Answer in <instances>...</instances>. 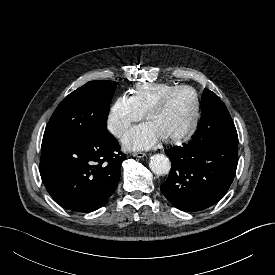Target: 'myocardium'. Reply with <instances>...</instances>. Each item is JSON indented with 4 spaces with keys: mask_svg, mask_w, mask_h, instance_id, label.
Instances as JSON below:
<instances>
[{
    "mask_svg": "<svg viewBox=\"0 0 275 275\" xmlns=\"http://www.w3.org/2000/svg\"><path fill=\"white\" fill-rule=\"evenodd\" d=\"M181 90H189L193 93L194 101H195L194 115H193V119H192V122H191L190 126L188 127V129L184 133H182L178 136H175V137L163 139V142L168 143V144H180V143L186 142L195 133V131L198 127V124H199L200 112H201V103H200V96L198 94V91L190 85H177V86L169 89L165 93H163L158 98V100L149 107V109L145 113V119L148 120V118L152 114H155V113L161 111L164 108V106L166 105L168 99L174 93H176L178 91H181Z\"/></svg>",
    "mask_w": 275,
    "mask_h": 275,
    "instance_id": "f54148a6",
    "label": "myocardium"
}]
</instances>
